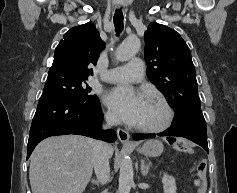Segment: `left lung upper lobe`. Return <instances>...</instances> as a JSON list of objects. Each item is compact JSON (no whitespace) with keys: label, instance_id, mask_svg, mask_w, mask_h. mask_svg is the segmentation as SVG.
Masks as SVG:
<instances>
[{"label":"left lung upper lobe","instance_id":"1","mask_svg":"<svg viewBox=\"0 0 237 193\" xmlns=\"http://www.w3.org/2000/svg\"><path fill=\"white\" fill-rule=\"evenodd\" d=\"M147 75L175 109L173 125L206 126L189 47L175 30L151 23L145 32Z\"/></svg>","mask_w":237,"mask_h":193}]
</instances>
